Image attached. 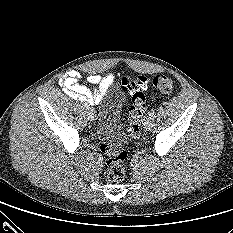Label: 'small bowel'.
<instances>
[{"label": "small bowel", "instance_id": "obj_1", "mask_svg": "<svg viewBox=\"0 0 233 233\" xmlns=\"http://www.w3.org/2000/svg\"><path fill=\"white\" fill-rule=\"evenodd\" d=\"M80 78V72L70 70L60 79L59 83L70 98L84 101L88 104H97L101 102L114 82V76L111 73L105 76H101L100 74H90L87 77L88 83L93 86V88H90L80 84ZM135 81H139L142 87L147 85V79L145 77H140L135 80L124 78L122 80L124 91L131 93L130 85Z\"/></svg>", "mask_w": 233, "mask_h": 233}]
</instances>
